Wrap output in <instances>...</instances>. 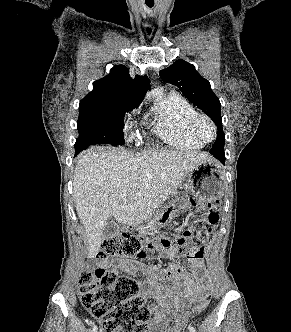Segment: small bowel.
I'll return each instance as SVG.
<instances>
[{
  "label": "small bowel",
  "instance_id": "obj_1",
  "mask_svg": "<svg viewBox=\"0 0 291 332\" xmlns=\"http://www.w3.org/2000/svg\"><path fill=\"white\" fill-rule=\"evenodd\" d=\"M180 243L183 239L180 238ZM198 255H187L189 258L192 275H185L182 268L174 262L168 261L165 268L157 263L142 265L129 258H122L118 261L102 259L101 264L105 267H115L128 274H140L144 278L145 287L142 297L145 300L154 301L151 306L154 316L150 324V332L169 331V325L174 318V311L183 309L187 303L203 298L208 287L199 277L204 271L203 248L196 250ZM179 255L176 246H170L165 251L166 259L175 258ZM168 280L169 284H163Z\"/></svg>",
  "mask_w": 291,
  "mask_h": 332
}]
</instances>
